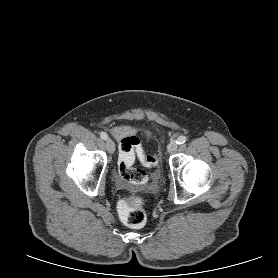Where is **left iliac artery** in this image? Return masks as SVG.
Segmentation results:
<instances>
[{
	"instance_id": "obj_1",
	"label": "left iliac artery",
	"mask_w": 278,
	"mask_h": 278,
	"mask_svg": "<svg viewBox=\"0 0 278 278\" xmlns=\"http://www.w3.org/2000/svg\"><path fill=\"white\" fill-rule=\"evenodd\" d=\"M186 140H187V138H186L185 136H180V137L177 139L176 143L179 144V145H181V144H184V143L186 142Z\"/></svg>"
}]
</instances>
